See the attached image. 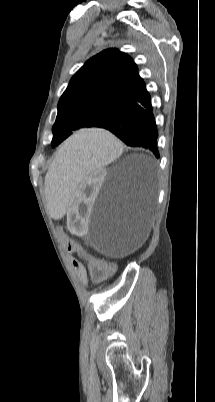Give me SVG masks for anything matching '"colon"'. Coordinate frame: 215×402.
I'll use <instances>...</instances> for the list:
<instances>
[{"mask_svg": "<svg viewBox=\"0 0 215 402\" xmlns=\"http://www.w3.org/2000/svg\"><path fill=\"white\" fill-rule=\"evenodd\" d=\"M64 224L63 223H58L56 225V228L60 231L57 232V237L60 238V242L65 244V252L67 254H79V259L80 260H90L91 259V252L88 251L85 246L83 245H78V241L76 239H69L68 235L64 236V232L61 231L64 229ZM76 268H80L78 263L74 262L73 263ZM115 271V265L109 262H105L102 260H94L92 267H91V273L93 277L100 281L104 279L106 276L109 274L113 273Z\"/></svg>", "mask_w": 215, "mask_h": 402, "instance_id": "1", "label": "colon"}]
</instances>
